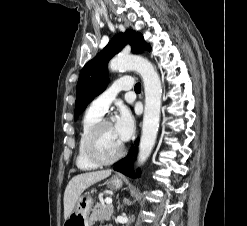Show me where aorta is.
<instances>
[{"label": "aorta", "mask_w": 247, "mask_h": 226, "mask_svg": "<svg viewBox=\"0 0 247 226\" xmlns=\"http://www.w3.org/2000/svg\"><path fill=\"white\" fill-rule=\"evenodd\" d=\"M109 68L111 71L134 70L143 79L145 108L138 152V163L142 165L150 156L157 138L162 97L160 77L153 65L141 56H118L110 61Z\"/></svg>", "instance_id": "762f6f07"}]
</instances>
